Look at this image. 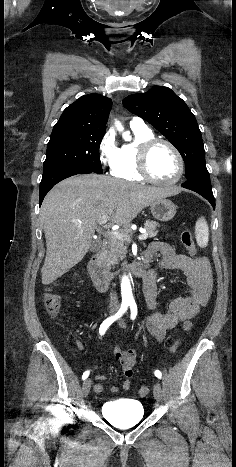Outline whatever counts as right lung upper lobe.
I'll return each mask as SVG.
<instances>
[{"label":"right lung upper lobe","mask_w":236,"mask_h":467,"mask_svg":"<svg viewBox=\"0 0 236 467\" xmlns=\"http://www.w3.org/2000/svg\"><path fill=\"white\" fill-rule=\"evenodd\" d=\"M112 101L98 95H85L69 105L54 128L105 132Z\"/></svg>","instance_id":"obj_1"}]
</instances>
